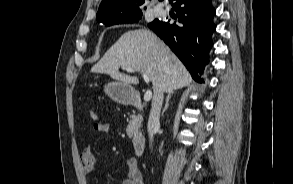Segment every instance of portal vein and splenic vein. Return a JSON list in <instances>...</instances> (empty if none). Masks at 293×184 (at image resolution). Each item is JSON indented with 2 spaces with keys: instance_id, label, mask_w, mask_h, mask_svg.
Masks as SVG:
<instances>
[{
  "instance_id": "obj_1",
  "label": "portal vein and splenic vein",
  "mask_w": 293,
  "mask_h": 184,
  "mask_svg": "<svg viewBox=\"0 0 293 184\" xmlns=\"http://www.w3.org/2000/svg\"><path fill=\"white\" fill-rule=\"evenodd\" d=\"M123 69H125L127 72H130V73L135 72V70L131 67H123ZM142 76L145 82L148 84L150 82V78L148 77V75L143 74ZM151 98H152V91L151 89H148L146 93L144 94V100L149 101Z\"/></svg>"
}]
</instances>
